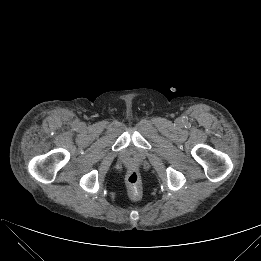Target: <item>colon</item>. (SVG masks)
<instances>
[{
    "label": "colon",
    "instance_id": "colon-1",
    "mask_svg": "<svg viewBox=\"0 0 261 261\" xmlns=\"http://www.w3.org/2000/svg\"><path fill=\"white\" fill-rule=\"evenodd\" d=\"M128 191L131 199L137 200L141 195V182L137 172H131L127 176Z\"/></svg>",
    "mask_w": 261,
    "mask_h": 261
}]
</instances>
